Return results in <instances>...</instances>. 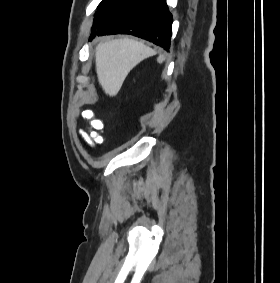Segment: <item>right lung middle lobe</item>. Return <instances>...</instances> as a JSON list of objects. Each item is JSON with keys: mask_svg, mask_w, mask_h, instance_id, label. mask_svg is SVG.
<instances>
[{"mask_svg": "<svg viewBox=\"0 0 280 283\" xmlns=\"http://www.w3.org/2000/svg\"><path fill=\"white\" fill-rule=\"evenodd\" d=\"M139 1L140 0H103L97 8L92 33L98 30L111 17Z\"/></svg>", "mask_w": 280, "mask_h": 283, "instance_id": "obj_1", "label": "right lung middle lobe"}]
</instances>
